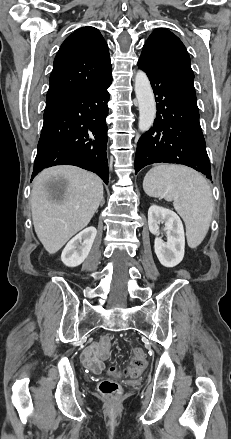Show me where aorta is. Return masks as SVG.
<instances>
[{"instance_id":"1","label":"aorta","mask_w":231,"mask_h":439,"mask_svg":"<svg viewBox=\"0 0 231 439\" xmlns=\"http://www.w3.org/2000/svg\"><path fill=\"white\" fill-rule=\"evenodd\" d=\"M135 94L139 105V123L141 132H146L153 125L156 116V103L150 81L143 71L135 76Z\"/></svg>"}]
</instances>
